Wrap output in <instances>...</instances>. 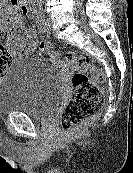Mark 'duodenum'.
Segmentation results:
<instances>
[{
  "mask_svg": "<svg viewBox=\"0 0 133 173\" xmlns=\"http://www.w3.org/2000/svg\"><path fill=\"white\" fill-rule=\"evenodd\" d=\"M12 1L14 4L20 6L21 11L25 16H28L31 14V7L28 0H12Z\"/></svg>",
  "mask_w": 133,
  "mask_h": 173,
  "instance_id": "410a0bca",
  "label": "duodenum"
}]
</instances>
